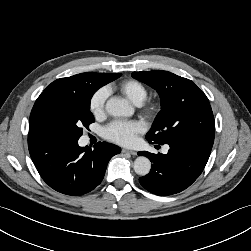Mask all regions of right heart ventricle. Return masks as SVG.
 I'll return each instance as SVG.
<instances>
[{"mask_svg": "<svg viewBox=\"0 0 251 251\" xmlns=\"http://www.w3.org/2000/svg\"><path fill=\"white\" fill-rule=\"evenodd\" d=\"M116 88L136 105L142 104L148 95L145 85L135 79L124 80Z\"/></svg>", "mask_w": 251, "mask_h": 251, "instance_id": "obj_1", "label": "right heart ventricle"}]
</instances>
